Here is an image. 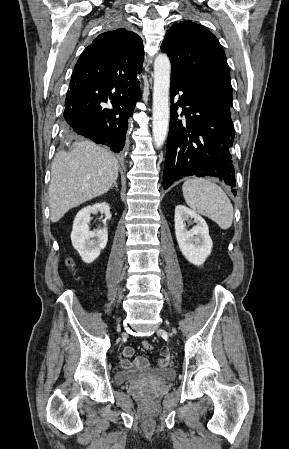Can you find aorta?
<instances>
[{
  "label": "aorta",
  "mask_w": 289,
  "mask_h": 449,
  "mask_svg": "<svg viewBox=\"0 0 289 449\" xmlns=\"http://www.w3.org/2000/svg\"><path fill=\"white\" fill-rule=\"evenodd\" d=\"M171 64L166 54H159L154 61V86H153V139L157 148L161 147L166 139L170 108Z\"/></svg>",
  "instance_id": "obj_1"
}]
</instances>
